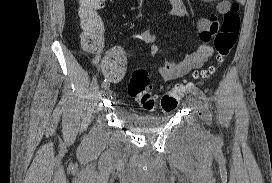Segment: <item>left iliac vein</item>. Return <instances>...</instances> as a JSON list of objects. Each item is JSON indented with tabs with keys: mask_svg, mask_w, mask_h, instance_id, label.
I'll use <instances>...</instances> for the list:
<instances>
[{
	"mask_svg": "<svg viewBox=\"0 0 272 183\" xmlns=\"http://www.w3.org/2000/svg\"><path fill=\"white\" fill-rule=\"evenodd\" d=\"M189 101L192 105H194V108L200 110V100L193 97V96H189Z\"/></svg>",
	"mask_w": 272,
	"mask_h": 183,
	"instance_id": "4c4485c4",
	"label": "left iliac vein"
}]
</instances>
